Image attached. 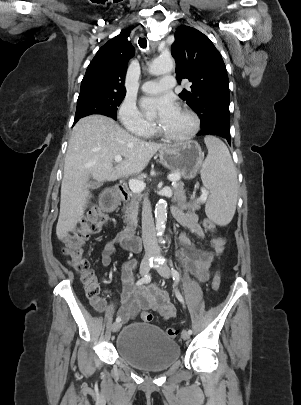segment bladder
I'll return each mask as SVG.
<instances>
[{"label": "bladder", "instance_id": "1", "mask_svg": "<svg viewBox=\"0 0 301 405\" xmlns=\"http://www.w3.org/2000/svg\"><path fill=\"white\" fill-rule=\"evenodd\" d=\"M115 348L121 359L148 372L169 368L180 355L178 343L155 325L133 322L117 335Z\"/></svg>", "mask_w": 301, "mask_h": 405}]
</instances>
